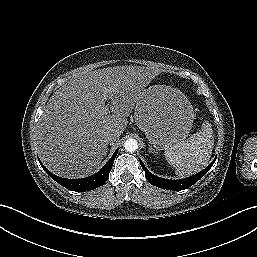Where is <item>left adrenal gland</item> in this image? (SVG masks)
Masks as SVG:
<instances>
[{
    "label": "left adrenal gland",
    "instance_id": "left-adrenal-gland-1",
    "mask_svg": "<svg viewBox=\"0 0 257 257\" xmlns=\"http://www.w3.org/2000/svg\"><path fill=\"white\" fill-rule=\"evenodd\" d=\"M149 150H150V152H152V153H156V152H155V150H154V149H152V147H151V146H149Z\"/></svg>",
    "mask_w": 257,
    "mask_h": 257
}]
</instances>
